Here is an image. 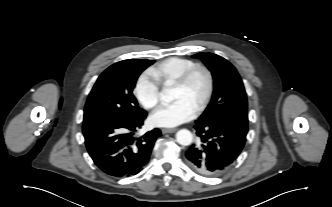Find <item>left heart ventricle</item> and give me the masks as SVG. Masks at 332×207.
Segmentation results:
<instances>
[{
    "mask_svg": "<svg viewBox=\"0 0 332 207\" xmlns=\"http://www.w3.org/2000/svg\"><path fill=\"white\" fill-rule=\"evenodd\" d=\"M206 89V78L197 73L185 88L173 87V100L183 99L196 108Z\"/></svg>",
    "mask_w": 332,
    "mask_h": 207,
    "instance_id": "b2bd125f",
    "label": "left heart ventricle"
}]
</instances>
